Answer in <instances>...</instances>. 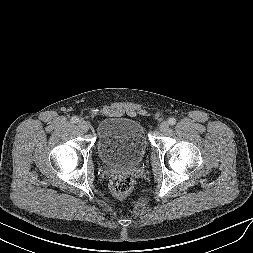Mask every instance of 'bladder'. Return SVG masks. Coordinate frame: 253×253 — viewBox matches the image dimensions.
I'll return each mask as SVG.
<instances>
[{
    "instance_id": "obj_1",
    "label": "bladder",
    "mask_w": 253,
    "mask_h": 253,
    "mask_svg": "<svg viewBox=\"0 0 253 253\" xmlns=\"http://www.w3.org/2000/svg\"><path fill=\"white\" fill-rule=\"evenodd\" d=\"M96 137L98 156L107 166L137 165L148 148L144 126L130 118H104L97 125Z\"/></svg>"
}]
</instances>
